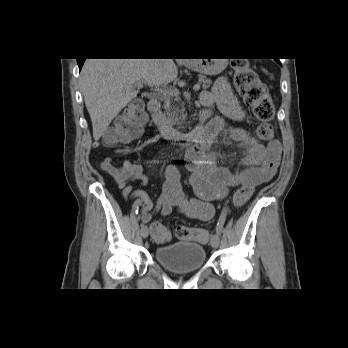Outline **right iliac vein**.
I'll use <instances>...</instances> for the list:
<instances>
[{
    "label": "right iliac vein",
    "mask_w": 348,
    "mask_h": 348,
    "mask_svg": "<svg viewBox=\"0 0 348 348\" xmlns=\"http://www.w3.org/2000/svg\"><path fill=\"white\" fill-rule=\"evenodd\" d=\"M148 235H149V229H148V227L147 226H142V228H141V236H142V238H147L148 237Z\"/></svg>",
    "instance_id": "63e3f726"
}]
</instances>
